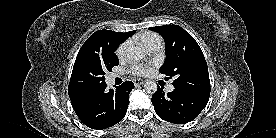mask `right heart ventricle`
<instances>
[{"label":"right heart ventricle","mask_w":276,"mask_h":138,"mask_svg":"<svg viewBox=\"0 0 276 138\" xmlns=\"http://www.w3.org/2000/svg\"><path fill=\"white\" fill-rule=\"evenodd\" d=\"M138 41L148 49L152 45L161 44V38L153 32H143L138 36Z\"/></svg>","instance_id":"e07e8e85"}]
</instances>
